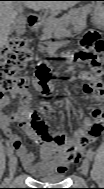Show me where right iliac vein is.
<instances>
[{"label": "right iliac vein", "mask_w": 104, "mask_h": 189, "mask_svg": "<svg viewBox=\"0 0 104 189\" xmlns=\"http://www.w3.org/2000/svg\"><path fill=\"white\" fill-rule=\"evenodd\" d=\"M18 163H17V157L15 155H12L9 160V176L10 178H13L16 171H17Z\"/></svg>", "instance_id": "right-iliac-vein-1"}]
</instances>
